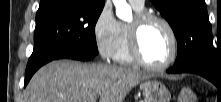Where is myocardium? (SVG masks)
I'll list each match as a JSON object with an SVG mask.
<instances>
[{
	"instance_id": "obj_1",
	"label": "myocardium",
	"mask_w": 221,
	"mask_h": 102,
	"mask_svg": "<svg viewBox=\"0 0 221 102\" xmlns=\"http://www.w3.org/2000/svg\"><path fill=\"white\" fill-rule=\"evenodd\" d=\"M158 22L168 31L172 41V52L169 59L162 64H152L146 60L143 55L140 43L142 29L149 23ZM128 43L129 50L134 61L151 70H163L168 68L176 60L178 55L179 43L177 34L172 25L163 17L149 12H138L134 20L128 25Z\"/></svg>"
}]
</instances>
